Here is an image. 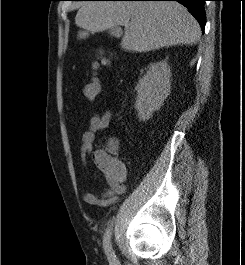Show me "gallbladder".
Returning a JSON list of instances; mask_svg holds the SVG:
<instances>
[{"instance_id":"1","label":"gallbladder","mask_w":245,"mask_h":265,"mask_svg":"<svg viewBox=\"0 0 245 265\" xmlns=\"http://www.w3.org/2000/svg\"><path fill=\"white\" fill-rule=\"evenodd\" d=\"M108 33L115 38H118L122 35V29L118 26H114L108 29Z\"/></svg>"}]
</instances>
